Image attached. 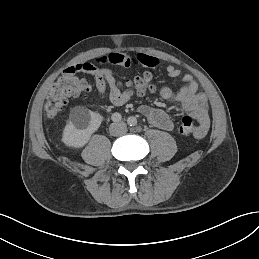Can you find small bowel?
I'll use <instances>...</instances> for the list:
<instances>
[{"instance_id": "obj_1", "label": "small bowel", "mask_w": 259, "mask_h": 259, "mask_svg": "<svg viewBox=\"0 0 259 259\" xmlns=\"http://www.w3.org/2000/svg\"><path fill=\"white\" fill-rule=\"evenodd\" d=\"M98 62L111 63L123 67L139 64L148 68H155L159 64L157 58L142 53H111L99 58ZM65 72H84L89 74L94 79L98 92L101 95H105L108 92L111 102L116 106L124 105L133 95L127 89L122 90L117 76L109 68L99 67L94 63L85 62L68 67ZM166 72L170 78H178L181 75L180 70L173 65H168ZM181 80L184 85L180 90L173 91L169 87H163L160 90V96L165 100H170L181 105L190 117L196 119L199 125L195 137L202 138L206 135L210 127L208 98L205 93L198 90L197 82L191 75L185 74ZM138 110L152 125L166 131L174 129L173 121L163 109L141 105Z\"/></svg>"}]
</instances>
